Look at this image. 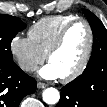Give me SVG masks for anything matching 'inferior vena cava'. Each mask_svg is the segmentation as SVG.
<instances>
[{"instance_id": "1", "label": "inferior vena cava", "mask_w": 107, "mask_h": 107, "mask_svg": "<svg viewBox=\"0 0 107 107\" xmlns=\"http://www.w3.org/2000/svg\"><path fill=\"white\" fill-rule=\"evenodd\" d=\"M21 69H23L24 71H28V72H32L35 71L37 69V66L34 64H28V63H23L20 65Z\"/></svg>"}]
</instances>
